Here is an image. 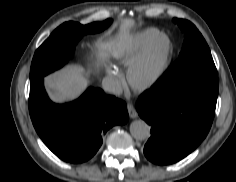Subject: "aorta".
Segmentation results:
<instances>
[{"mask_svg":"<svg viewBox=\"0 0 236 182\" xmlns=\"http://www.w3.org/2000/svg\"><path fill=\"white\" fill-rule=\"evenodd\" d=\"M130 133L136 140H145L150 137V126L143 120H134L130 124Z\"/></svg>","mask_w":236,"mask_h":182,"instance_id":"762f6f07","label":"aorta"}]
</instances>
